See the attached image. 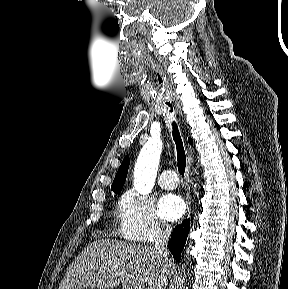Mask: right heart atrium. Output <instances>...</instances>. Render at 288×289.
Here are the masks:
<instances>
[{
  "label": "right heart atrium",
  "instance_id": "right-heart-atrium-1",
  "mask_svg": "<svg viewBox=\"0 0 288 289\" xmlns=\"http://www.w3.org/2000/svg\"><path fill=\"white\" fill-rule=\"evenodd\" d=\"M118 217L121 235L135 242H155L170 230L159 217L153 200L134 190L126 191L120 198Z\"/></svg>",
  "mask_w": 288,
  "mask_h": 289
}]
</instances>
